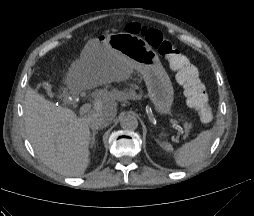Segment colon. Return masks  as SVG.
Segmentation results:
<instances>
[{"mask_svg":"<svg viewBox=\"0 0 254 216\" xmlns=\"http://www.w3.org/2000/svg\"><path fill=\"white\" fill-rule=\"evenodd\" d=\"M126 29L131 34L143 36L168 60L171 69L176 71L177 80L184 87L188 104L195 110L202 123H209L213 119L212 109L198 79L197 71L190 65L188 59L158 29L139 24H128Z\"/></svg>","mask_w":254,"mask_h":216,"instance_id":"obj_1","label":"colon"}]
</instances>
